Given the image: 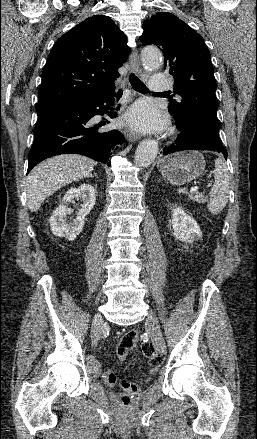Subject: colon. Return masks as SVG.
<instances>
[{"mask_svg":"<svg viewBox=\"0 0 257 439\" xmlns=\"http://www.w3.org/2000/svg\"><path fill=\"white\" fill-rule=\"evenodd\" d=\"M138 339V332L134 329L128 330L122 335L116 347V354L120 361H124L128 354L137 348ZM141 351L143 355L149 360L151 367L155 370L160 365L161 360L157 355L153 344H143L141 347ZM90 367L105 384L113 385L116 382L115 374L111 371L101 370L94 360L90 361ZM124 389L128 393H134L138 390V385L134 382H125ZM121 401L124 405H129L131 402V398L128 394H124L121 398Z\"/></svg>","mask_w":257,"mask_h":439,"instance_id":"5ec220e1","label":"colon"}]
</instances>
